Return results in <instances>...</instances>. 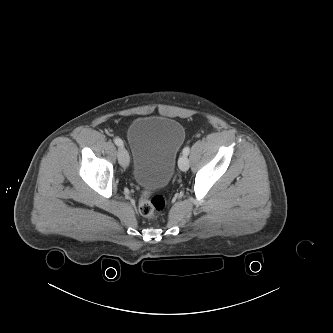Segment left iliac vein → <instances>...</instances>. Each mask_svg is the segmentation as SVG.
Instances as JSON below:
<instances>
[{"mask_svg":"<svg viewBox=\"0 0 333 333\" xmlns=\"http://www.w3.org/2000/svg\"><path fill=\"white\" fill-rule=\"evenodd\" d=\"M189 159L187 158V156L183 155L179 158L178 161V166L180 168V170L182 171H187L189 169Z\"/></svg>","mask_w":333,"mask_h":333,"instance_id":"left-iliac-vein-1","label":"left iliac vein"}]
</instances>
